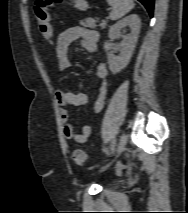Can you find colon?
<instances>
[{
    "instance_id": "5ec220e1",
    "label": "colon",
    "mask_w": 188,
    "mask_h": 213,
    "mask_svg": "<svg viewBox=\"0 0 188 213\" xmlns=\"http://www.w3.org/2000/svg\"><path fill=\"white\" fill-rule=\"evenodd\" d=\"M61 2L62 0H36L33 6V12L40 35L47 42H50L53 36L52 26L50 22L49 7L54 3L59 4ZM73 160L79 166L84 165V152L80 149L75 150L73 152Z\"/></svg>"
}]
</instances>
